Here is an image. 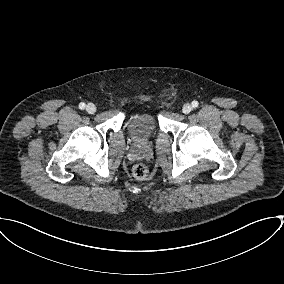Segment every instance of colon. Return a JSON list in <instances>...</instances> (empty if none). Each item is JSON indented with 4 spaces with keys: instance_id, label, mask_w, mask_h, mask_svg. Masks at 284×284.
Listing matches in <instances>:
<instances>
[{
    "instance_id": "obj_1",
    "label": "colon",
    "mask_w": 284,
    "mask_h": 284,
    "mask_svg": "<svg viewBox=\"0 0 284 284\" xmlns=\"http://www.w3.org/2000/svg\"><path fill=\"white\" fill-rule=\"evenodd\" d=\"M132 173L135 178L139 180L146 179L148 177L149 171L148 168L143 164H136L132 169Z\"/></svg>"
}]
</instances>
